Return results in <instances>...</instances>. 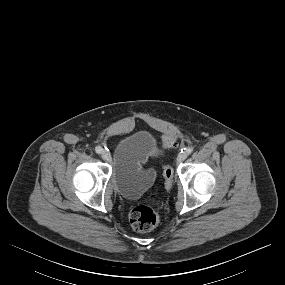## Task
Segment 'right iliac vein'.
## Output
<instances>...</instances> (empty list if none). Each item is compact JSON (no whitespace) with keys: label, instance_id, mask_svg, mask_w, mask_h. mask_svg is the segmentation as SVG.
<instances>
[{"label":"right iliac vein","instance_id":"1","mask_svg":"<svg viewBox=\"0 0 285 285\" xmlns=\"http://www.w3.org/2000/svg\"><path fill=\"white\" fill-rule=\"evenodd\" d=\"M102 158L106 161L110 160V154L107 151H103L101 154Z\"/></svg>","mask_w":285,"mask_h":285}]
</instances>
